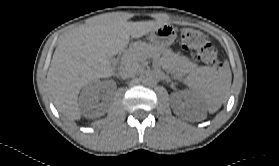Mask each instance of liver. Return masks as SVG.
I'll return each instance as SVG.
<instances>
[{
  "mask_svg": "<svg viewBox=\"0 0 279 166\" xmlns=\"http://www.w3.org/2000/svg\"><path fill=\"white\" fill-rule=\"evenodd\" d=\"M161 21L128 22L119 13L96 18L60 37L47 80L58 111L79 120L78 94L86 84L111 77L109 57L122 52L132 38L143 37L164 25Z\"/></svg>",
  "mask_w": 279,
  "mask_h": 166,
  "instance_id": "liver-1",
  "label": "liver"
}]
</instances>
